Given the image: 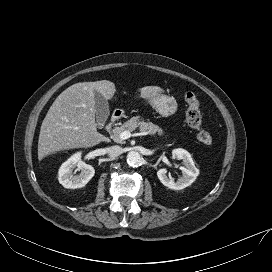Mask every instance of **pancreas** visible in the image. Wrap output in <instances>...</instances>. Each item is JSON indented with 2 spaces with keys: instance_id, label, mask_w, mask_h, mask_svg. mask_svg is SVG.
Wrapping results in <instances>:
<instances>
[{
  "instance_id": "obj_1",
  "label": "pancreas",
  "mask_w": 272,
  "mask_h": 272,
  "mask_svg": "<svg viewBox=\"0 0 272 272\" xmlns=\"http://www.w3.org/2000/svg\"><path fill=\"white\" fill-rule=\"evenodd\" d=\"M137 128H139L142 132H148L150 135L155 136L156 134L159 136L164 135V131L159 126L151 123V122H144L140 120L139 116L132 117L130 120L125 122L122 126L116 127L113 130L112 138L115 142L123 144L125 143L124 140H122L119 135L123 131H134Z\"/></svg>"
}]
</instances>
